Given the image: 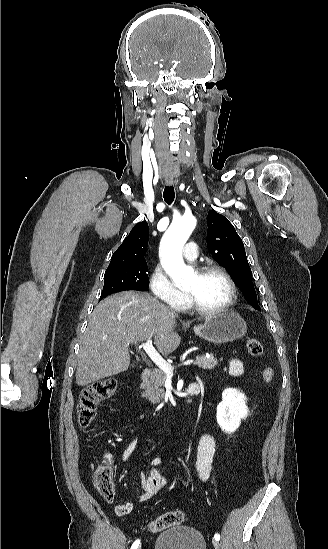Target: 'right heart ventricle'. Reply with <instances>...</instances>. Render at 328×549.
Segmentation results:
<instances>
[{
  "instance_id": "obj_1",
  "label": "right heart ventricle",
  "mask_w": 328,
  "mask_h": 549,
  "mask_svg": "<svg viewBox=\"0 0 328 549\" xmlns=\"http://www.w3.org/2000/svg\"><path fill=\"white\" fill-rule=\"evenodd\" d=\"M176 303H180V309L184 308L187 305V300L184 293L181 292V297Z\"/></svg>"
}]
</instances>
